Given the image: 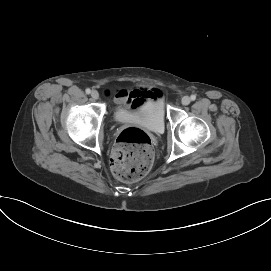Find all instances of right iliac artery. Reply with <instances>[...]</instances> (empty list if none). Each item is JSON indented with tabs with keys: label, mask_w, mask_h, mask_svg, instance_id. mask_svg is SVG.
<instances>
[{
	"label": "right iliac artery",
	"mask_w": 271,
	"mask_h": 271,
	"mask_svg": "<svg viewBox=\"0 0 271 271\" xmlns=\"http://www.w3.org/2000/svg\"><path fill=\"white\" fill-rule=\"evenodd\" d=\"M91 90L89 88L86 89V94H90Z\"/></svg>",
	"instance_id": "right-iliac-artery-1"
}]
</instances>
